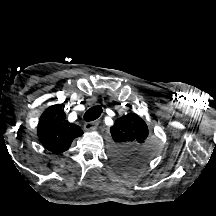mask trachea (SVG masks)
<instances>
[{"instance_id": "3493384b", "label": "trachea", "mask_w": 216, "mask_h": 216, "mask_svg": "<svg viewBox=\"0 0 216 216\" xmlns=\"http://www.w3.org/2000/svg\"><path fill=\"white\" fill-rule=\"evenodd\" d=\"M102 113V108L101 106H94L88 109L85 114H84V120L89 122V121H94L98 117H100Z\"/></svg>"}]
</instances>
